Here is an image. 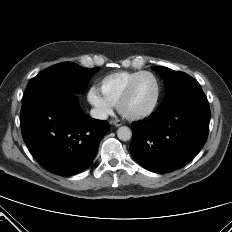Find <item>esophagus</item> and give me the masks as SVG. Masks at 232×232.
I'll return each mask as SVG.
<instances>
[{
	"label": "esophagus",
	"instance_id": "1",
	"mask_svg": "<svg viewBox=\"0 0 232 232\" xmlns=\"http://www.w3.org/2000/svg\"><path fill=\"white\" fill-rule=\"evenodd\" d=\"M112 124H113L114 126H116V127H119V126L122 125V122H121L120 120H113V121H112Z\"/></svg>",
	"mask_w": 232,
	"mask_h": 232
}]
</instances>
